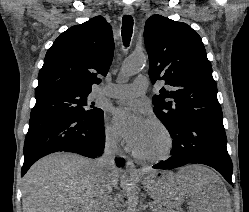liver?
Segmentation results:
<instances>
[{
  "mask_svg": "<svg viewBox=\"0 0 249 212\" xmlns=\"http://www.w3.org/2000/svg\"><path fill=\"white\" fill-rule=\"evenodd\" d=\"M98 170L95 160L77 154L60 152L41 158L23 178V212H100ZM111 172L112 188H117L120 170ZM136 178L158 206L179 208L187 200L190 212H231L225 184L206 166H184L177 174L142 168Z\"/></svg>",
  "mask_w": 249,
  "mask_h": 212,
  "instance_id": "1",
  "label": "liver"
}]
</instances>
